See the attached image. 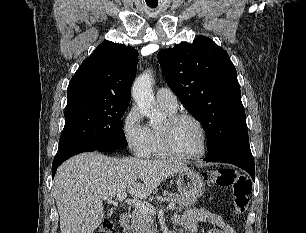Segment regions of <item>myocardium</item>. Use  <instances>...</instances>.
Listing matches in <instances>:
<instances>
[{
    "label": "myocardium",
    "instance_id": "myocardium-1",
    "mask_svg": "<svg viewBox=\"0 0 306 233\" xmlns=\"http://www.w3.org/2000/svg\"><path fill=\"white\" fill-rule=\"evenodd\" d=\"M183 120L193 121L199 128L202 136V146L199 152L193 154H185L176 149L172 139V132L174 127ZM163 143L166 151L169 155L180 159H197L202 157L207 150L208 145V135L206 128L202 121L193 114L190 113H175L170 115L167 119L166 126L161 128Z\"/></svg>",
    "mask_w": 306,
    "mask_h": 233
}]
</instances>
